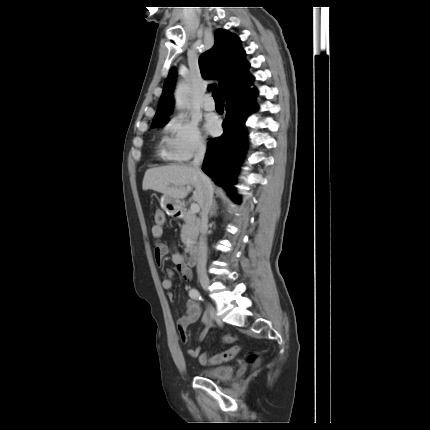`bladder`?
Instances as JSON below:
<instances>
[{"mask_svg":"<svg viewBox=\"0 0 430 430\" xmlns=\"http://www.w3.org/2000/svg\"><path fill=\"white\" fill-rule=\"evenodd\" d=\"M233 374V368L229 365L214 366L201 370V375L213 380H226Z\"/></svg>","mask_w":430,"mask_h":430,"instance_id":"bladder-1","label":"bladder"}]
</instances>
